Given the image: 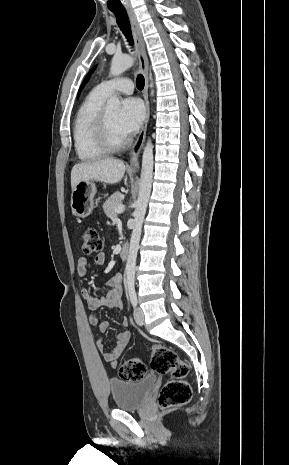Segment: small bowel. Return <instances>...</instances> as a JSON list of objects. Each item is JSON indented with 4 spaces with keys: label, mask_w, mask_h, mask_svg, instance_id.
<instances>
[{
    "label": "small bowel",
    "mask_w": 289,
    "mask_h": 465,
    "mask_svg": "<svg viewBox=\"0 0 289 465\" xmlns=\"http://www.w3.org/2000/svg\"><path fill=\"white\" fill-rule=\"evenodd\" d=\"M106 261L104 253L97 254L94 258L88 256L80 257L77 265V273L80 277H85L90 263L95 265H103ZM122 275L117 273L104 284L105 292L100 296H94L88 289L82 290V296L86 300L90 310L93 311L89 318L91 325L97 326L101 332H105L109 323L107 321H100L95 311L101 307H112L122 309L123 304L121 301L122 296ZM127 318L122 319V325L127 326ZM131 333L128 330L119 332L116 336L115 344L112 347H107L102 338L96 342L98 350L102 353L105 361L115 366L117 360L124 351L129 342Z\"/></svg>",
    "instance_id": "small-bowel-1"
}]
</instances>
